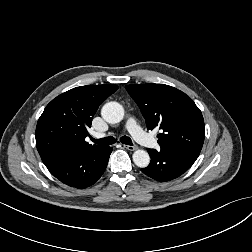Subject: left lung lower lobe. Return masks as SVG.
<instances>
[{"label":"left lung lower lobe","instance_id":"0a47b994","mask_svg":"<svg viewBox=\"0 0 252 252\" xmlns=\"http://www.w3.org/2000/svg\"><path fill=\"white\" fill-rule=\"evenodd\" d=\"M151 157L148 167L141 169L147 176L160 181L173 180L185 173L196 161L198 152L180 148L147 149Z\"/></svg>","mask_w":252,"mask_h":252}]
</instances>
